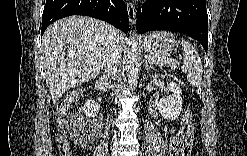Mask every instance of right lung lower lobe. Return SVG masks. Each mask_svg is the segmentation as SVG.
<instances>
[{"mask_svg":"<svg viewBox=\"0 0 247 156\" xmlns=\"http://www.w3.org/2000/svg\"><path fill=\"white\" fill-rule=\"evenodd\" d=\"M70 15L94 17L125 33L129 30L128 12L123 0H47L42 15L41 35L52 22Z\"/></svg>","mask_w":247,"mask_h":156,"instance_id":"98d812e1","label":"right lung lower lobe"}]
</instances>
